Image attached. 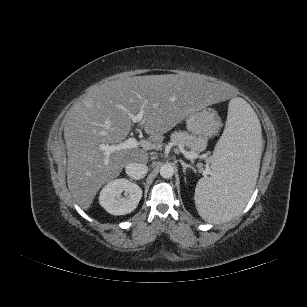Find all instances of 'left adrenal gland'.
I'll return each instance as SVG.
<instances>
[{"label": "left adrenal gland", "instance_id": "obj_1", "mask_svg": "<svg viewBox=\"0 0 307 307\" xmlns=\"http://www.w3.org/2000/svg\"><path fill=\"white\" fill-rule=\"evenodd\" d=\"M179 162L181 163L182 167H183V172L185 173L186 170L189 168V169H192L193 171H195L194 167L190 164H186L183 160H179Z\"/></svg>", "mask_w": 307, "mask_h": 307}]
</instances>
